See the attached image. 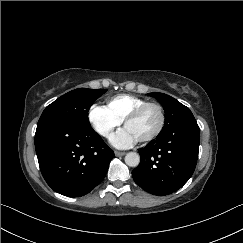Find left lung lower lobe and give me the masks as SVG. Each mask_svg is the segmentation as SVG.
I'll return each instance as SVG.
<instances>
[{"instance_id": "0a47b994", "label": "left lung lower lobe", "mask_w": 243, "mask_h": 243, "mask_svg": "<svg viewBox=\"0 0 243 243\" xmlns=\"http://www.w3.org/2000/svg\"><path fill=\"white\" fill-rule=\"evenodd\" d=\"M200 128L194 117L151 140L140 153L132 171L137 185L154 195H168L192 176L198 158Z\"/></svg>"}]
</instances>
